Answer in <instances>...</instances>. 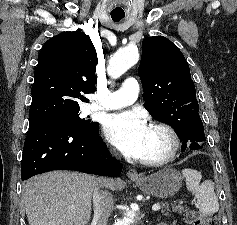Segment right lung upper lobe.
I'll return each instance as SVG.
<instances>
[{"instance_id": "right-lung-upper-lobe-1", "label": "right lung upper lobe", "mask_w": 237, "mask_h": 225, "mask_svg": "<svg viewBox=\"0 0 237 225\" xmlns=\"http://www.w3.org/2000/svg\"><path fill=\"white\" fill-rule=\"evenodd\" d=\"M97 53L88 35L64 32L43 45L34 72L29 121L80 111L83 94L95 91Z\"/></svg>"}]
</instances>
